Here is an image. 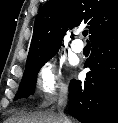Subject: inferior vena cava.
<instances>
[{"mask_svg": "<svg viewBox=\"0 0 118 123\" xmlns=\"http://www.w3.org/2000/svg\"><path fill=\"white\" fill-rule=\"evenodd\" d=\"M67 95H68V88L62 87L58 99V114L62 118L63 123H70L69 119L63 113V109L67 104Z\"/></svg>", "mask_w": 118, "mask_h": 123, "instance_id": "inferior-vena-cava-1", "label": "inferior vena cava"}]
</instances>
